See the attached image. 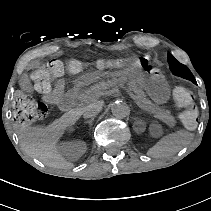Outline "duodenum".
I'll return each mask as SVG.
<instances>
[{
	"instance_id": "duodenum-1",
	"label": "duodenum",
	"mask_w": 211,
	"mask_h": 211,
	"mask_svg": "<svg viewBox=\"0 0 211 211\" xmlns=\"http://www.w3.org/2000/svg\"><path fill=\"white\" fill-rule=\"evenodd\" d=\"M76 94V88H73L68 93H66L58 102L59 108L64 112L71 110L75 103Z\"/></svg>"
}]
</instances>
